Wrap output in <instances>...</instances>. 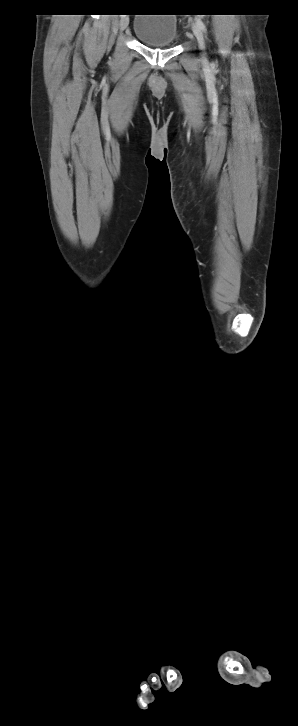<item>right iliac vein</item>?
<instances>
[{"label":"right iliac vein","instance_id":"obj_1","mask_svg":"<svg viewBox=\"0 0 298 726\" xmlns=\"http://www.w3.org/2000/svg\"><path fill=\"white\" fill-rule=\"evenodd\" d=\"M129 24V18L127 16H123L120 20V30L123 31L127 28Z\"/></svg>","mask_w":298,"mask_h":726}]
</instances>
